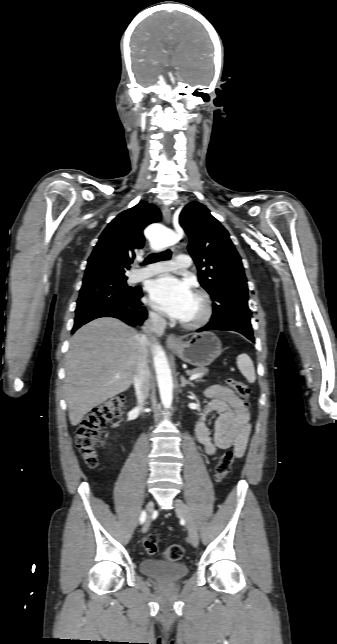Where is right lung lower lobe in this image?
<instances>
[{
	"label": "right lung lower lobe",
	"mask_w": 337,
	"mask_h": 644,
	"mask_svg": "<svg viewBox=\"0 0 337 644\" xmlns=\"http://www.w3.org/2000/svg\"><path fill=\"white\" fill-rule=\"evenodd\" d=\"M139 292L140 293L137 296L132 297L127 302L115 305L95 307L76 312L72 333H74L82 325L100 317L118 318L133 327L141 324V322H143L147 317V311L144 307H142V303L139 301L140 297H142L140 288Z\"/></svg>",
	"instance_id": "right-lung-lower-lobe-1"
}]
</instances>
